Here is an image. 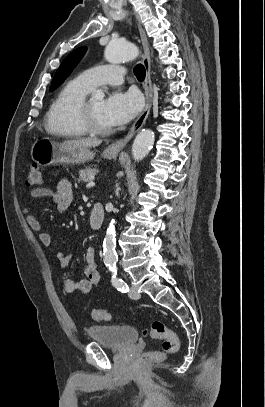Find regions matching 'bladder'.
Segmentation results:
<instances>
[{
  "instance_id": "bladder-1",
  "label": "bladder",
  "mask_w": 265,
  "mask_h": 407,
  "mask_svg": "<svg viewBox=\"0 0 265 407\" xmlns=\"http://www.w3.org/2000/svg\"><path fill=\"white\" fill-rule=\"evenodd\" d=\"M87 335L91 340L115 349L126 348L139 338V332L128 325L90 326Z\"/></svg>"
}]
</instances>
